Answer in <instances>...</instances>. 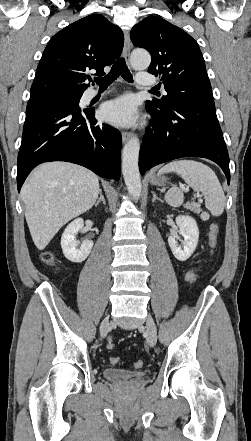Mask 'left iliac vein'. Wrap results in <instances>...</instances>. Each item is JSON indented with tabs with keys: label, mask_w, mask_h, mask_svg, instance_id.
Here are the masks:
<instances>
[{
	"label": "left iliac vein",
	"mask_w": 251,
	"mask_h": 441,
	"mask_svg": "<svg viewBox=\"0 0 251 441\" xmlns=\"http://www.w3.org/2000/svg\"><path fill=\"white\" fill-rule=\"evenodd\" d=\"M146 340L151 347L155 346L157 341V329L151 315H148L146 319Z\"/></svg>",
	"instance_id": "left-iliac-vein-1"
}]
</instances>
